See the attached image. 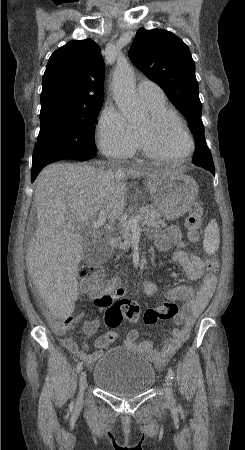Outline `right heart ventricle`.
Masks as SVG:
<instances>
[{
	"label": "right heart ventricle",
	"instance_id": "right-heart-ventricle-1",
	"mask_svg": "<svg viewBox=\"0 0 245 450\" xmlns=\"http://www.w3.org/2000/svg\"><path fill=\"white\" fill-rule=\"evenodd\" d=\"M145 105L150 110V112H155V111H160V110H170V111H172L173 113L176 114V112L171 107H169L167 105L165 100L160 101V102H156V103L145 104Z\"/></svg>",
	"mask_w": 245,
	"mask_h": 450
}]
</instances>
